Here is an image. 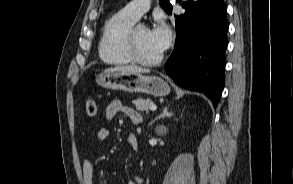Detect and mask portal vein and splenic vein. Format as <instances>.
Listing matches in <instances>:
<instances>
[{"instance_id": "obj_1", "label": "portal vein and splenic vein", "mask_w": 293, "mask_h": 184, "mask_svg": "<svg viewBox=\"0 0 293 184\" xmlns=\"http://www.w3.org/2000/svg\"><path fill=\"white\" fill-rule=\"evenodd\" d=\"M151 111H155L156 109H157V106L156 105H152V106H150V108H149Z\"/></svg>"}]
</instances>
